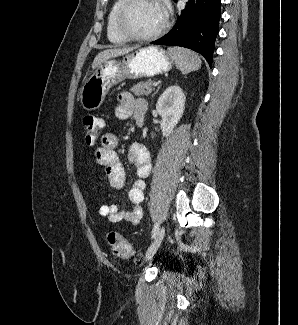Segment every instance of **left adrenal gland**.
<instances>
[{"label": "left adrenal gland", "mask_w": 298, "mask_h": 325, "mask_svg": "<svg viewBox=\"0 0 298 325\" xmlns=\"http://www.w3.org/2000/svg\"><path fill=\"white\" fill-rule=\"evenodd\" d=\"M159 88H160V86H158V88H157V90H155L154 94H156V92H158Z\"/></svg>", "instance_id": "left-adrenal-gland-1"}]
</instances>
